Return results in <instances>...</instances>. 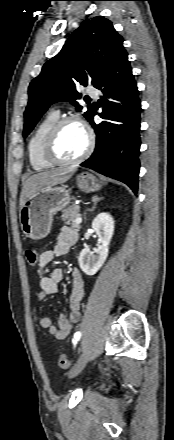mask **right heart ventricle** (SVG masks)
<instances>
[{
    "label": "right heart ventricle",
    "mask_w": 174,
    "mask_h": 440,
    "mask_svg": "<svg viewBox=\"0 0 174 440\" xmlns=\"http://www.w3.org/2000/svg\"><path fill=\"white\" fill-rule=\"evenodd\" d=\"M58 119V114L49 113L38 123L29 138L28 157L30 165L35 171L48 170L54 166L44 156V144L48 132Z\"/></svg>",
    "instance_id": "1"
}]
</instances>
